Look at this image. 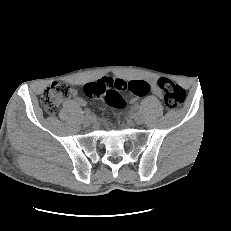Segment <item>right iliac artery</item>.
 Returning a JSON list of instances; mask_svg holds the SVG:
<instances>
[{"label": "right iliac artery", "instance_id": "obj_1", "mask_svg": "<svg viewBox=\"0 0 231 231\" xmlns=\"http://www.w3.org/2000/svg\"><path fill=\"white\" fill-rule=\"evenodd\" d=\"M84 113H85L86 115H90V114H91V110H90V109H85V110H84Z\"/></svg>", "mask_w": 231, "mask_h": 231}]
</instances>
